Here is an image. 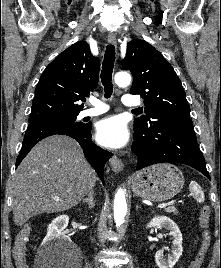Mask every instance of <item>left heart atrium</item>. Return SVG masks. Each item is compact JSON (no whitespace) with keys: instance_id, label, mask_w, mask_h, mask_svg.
<instances>
[{"instance_id":"39dd6f15","label":"left heart atrium","mask_w":221,"mask_h":268,"mask_svg":"<svg viewBox=\"0 0 221 268\" xmlns=\"http://www.w3.org/2000/svg\"><path fill=\"white\" fill-rule=\"evenodd\" d=\"M95 138L100 145L116 149L123 147L128 142L129 132L121 118L112 116L97 124Z\"/></svg>"}]
</instances>
